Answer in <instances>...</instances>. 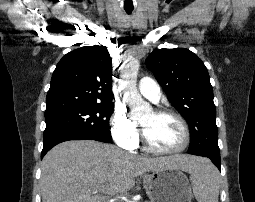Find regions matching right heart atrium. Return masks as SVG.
I'll return each instance as SVG.
<instances>
[{
    "label": "right heart atrium",
    "mask_w": 255,
    "mask_h": 202,
    "mask_svg": "<svg viewBox=\"0 0 255 202\" xmlns=\"http://www.w3.org/2000/svg\"><path fill=\"white\" fill-rule=\"evenodd\" d=\"M109 129L113 140L123 149L132 151L139 142V129L122 107H116L109 120Z\"/></svg>",
    "instance_id": "right-heart-atrium-1"
}]
</instances>
